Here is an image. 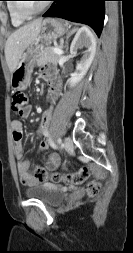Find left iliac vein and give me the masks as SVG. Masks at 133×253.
Segmentation results:
<instances>
[{
    "mask_svg": "<svg viewBox=\"0 0 133 253\" xmlns=\"http://www.w3.org/2000/svg\"><path fill=\"white\" fill-rule=\"evenodd\" d=\"M64 148L66 150H72L73 149V141L70 137H65V139H64Z\"/></svg>",
    "mask_w": 133,
    "mask_h": 253,
    "instance_id": "4c4485c4",
    "label": "left iliac vein"
}]
</instances>
